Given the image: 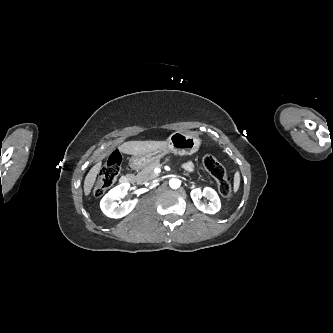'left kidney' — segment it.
<instances>
[{
	"label": "left kidney",
	"instance_id": "5707ae66",
	"mask_svg": "<svg viewBox=\"0 0 333 333\" xmlns=\"http://www.w3.org/2000/svg\"><path fill=\"white\" fill-rule=\"evenodd\" d=\"M190 195L196 208L204 213L215 214L221 208V202L218 194L216 193L215 190H213L210 187H206L203 190H201V188H195L191 191ZM202 196H204L210 202L209 203L201 202L200 199Z\"/></svg>",
	"mask_w": 333,
	"mask_h": 333
}]
</instances>
